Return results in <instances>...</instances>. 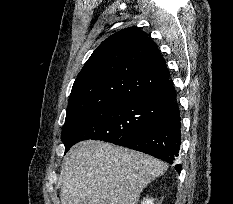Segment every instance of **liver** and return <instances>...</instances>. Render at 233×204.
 Returning <instances> with one entry per match:
<instances>
[{"label": "liver", "instance_id": "1", "mask_svg": "<svg viewBox=\"0 0 233 204\" xmlns=\"http://www.w3.org/2000/svg\"><path fill=\"white\" fill-rule=\"evenodd\" d=\"M167 168L126 147L81 141L65 157L61 204H137L143 189Z\"/></svg>", "mask_w": 233, "mask_h": 204}]
</instances>
